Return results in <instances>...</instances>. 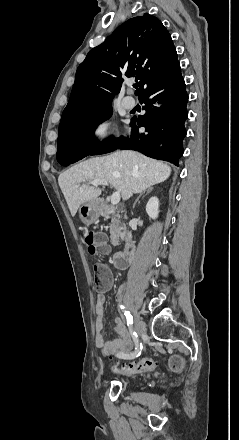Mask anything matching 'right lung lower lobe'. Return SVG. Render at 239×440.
<instances>
[{
	"instance_id": "1",
	"label": "right lung lower lobe",
	"mask_w": 239,
	"mask_h": 440,
	"mask_svg": "<svg viewBox=\"0 0 239 440\" xmlns=\"http://www.w3.org/2000/svg\"><path fill=\"white\" fill-rule=\"evenodd\" d=\"M139 99L145 103L146 113L131 119L133 130L130 138L63 147L57 151V161L67 166L88 155L133 149L178 166V160L183 155L182 140L186 136L184 121L188 117V95L179 62L168 73L147 85ZM139 127H145L147 134L139 136Z\"/></svg>"
}]
</instances>
